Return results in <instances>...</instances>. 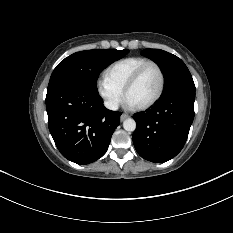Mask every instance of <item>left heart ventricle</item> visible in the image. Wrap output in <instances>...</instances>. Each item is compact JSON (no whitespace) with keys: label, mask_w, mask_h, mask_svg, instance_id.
Returning a JSON list of instances; mask_svg holds the SVG:
<instances>
[{"label":"left heart ventricle","mask_w":233,"mask_h":233,"mask_svg":"<svg viewBox=\"0 0 233 233\" xmlns=\"http://www.w3.org/2000/svg\"><path fill=\"white\" fill-rule=\"evenodd\" d=\"M160 86V76L154 66L148 67L137 83L130 89L127 99L140 106L151 100Z\"/></svg>","instance_id":"1"}]
</instances>
